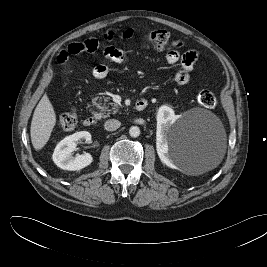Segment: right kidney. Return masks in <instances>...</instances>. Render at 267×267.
I'll return each mask as SVG.
<instances>
[{"label": "right kidney", "instance_id": "obj_1", "mask_svg": "<svg viewBox=\"0 0 267 267\" xmlns=\"http://www.w3.org/2000/svg\"><path fill=\"white\" fill-rule=\"evenodd\" d=\"M79 141H91V134L87 131L76 132L61 140L52 155L54 163L63 170L76 171L85 168L93 161L89 153L72 155Z\"/></svg>", "mask_w": 267, "mask_h": 267}]
</instances>
